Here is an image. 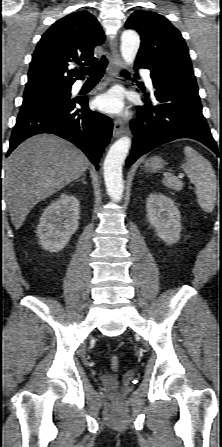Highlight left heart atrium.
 <instances>
[{"mask_svg": "<svg viewBox=\"0 0 222 447\" xmlns=\"http://www.w3.org/2000/svg\"><path fill=\"white\" fill-rule=\"evenodd\" d=\"M95 105L100 111L108 114L118 115L122 114L125 110L122 93L117 89H111L97 96Z\"/></svg>", "mask_w": 222, "mask_h": 447, "instance_id": "left-heart-atrium-1", "label": "left heart atrium"}]
</instances>
